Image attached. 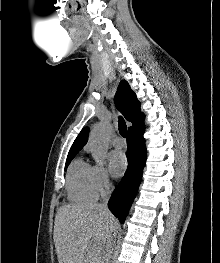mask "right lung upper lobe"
Segmentation results:
<instances>
[{
  "label": "right lung upper lobe",
  "mask_w": 220,
  "mask_h": 263,
  "mask_svg": "<svg viewBox=\"0 0 220 263\" xmlns=\"http://www.w3.org/2000/svg\"><path fill=\"white\" fill-rule=\"evenodd\" d=\"M114 100L117 108L123 113L126 120L133 123L128 129V133L144 129V114L140 112V102L125 80L120 82ZM88 134L89 129L87 127L79 133L71 146L68 156L76 155L83 148L88 140Z\"/></svg>",
  "instance_id": "1"
}]
</instances>
